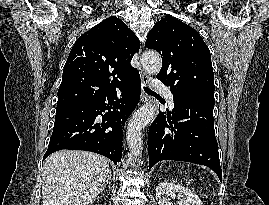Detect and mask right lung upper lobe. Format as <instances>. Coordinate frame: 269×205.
Masks as SVG:
<instances>
[{"label": "right lung upper lobe", "mask_w": 269, "mask_h": 205, "mask_svg": "<svg viewBox=\"0 0 269 205\" xmlns=\"http://www.w3.org/2000/svg\"><path fill=\"white\" fill-rule=\"evenodd\" d=\"M139 48L133 31L114 16L81 35L65 63L57 106L115 92L137 72L130 61Z\"/></svg>", "instance_id": "right-lung-upper-lobe-1"}]
</instances>
